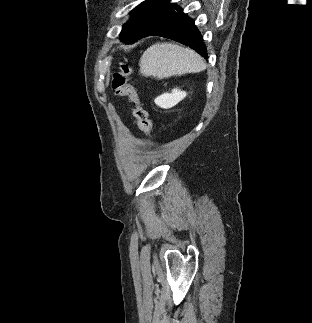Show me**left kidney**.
I'll return each instance as SVG.
<instances>
[{
    "label": "left kidney",
    "instance_id": "1",
    "mask_svg": "<svg viewBox=\"0 0 312 323\" xmlns=\"http://www.w3.org/2000/svg\"><path fill=\"white\" fill-rule=\"evenodd\" d=\"M185 96L186 92L172 90L171 94H162V96H158L154 102L157 104V106H160V108H165V110H168V108H173V106H176L178 102H181Z\"/></svg>",
    "mask_w": 312,
    "mask_h": 323
}]
</instances>
